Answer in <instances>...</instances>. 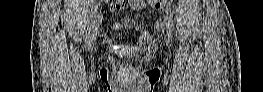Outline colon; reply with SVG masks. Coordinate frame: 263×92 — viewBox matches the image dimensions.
I'll use <instances>...</instances> for the list:
<instances>
[{"label": "colon", "instance_id": "1", "mask_svg": "<svg viewBox=\"0 0 263 92\" xmlns=\"http://www.w3.org/2000/svg\"><path fill=\"white\" fill-rule=\"evenodd\" d=\"M133 2H135V1H133ZM149 2H151L156 9H160L163 4L169 3L171 1H168V0H152Z\"/></svg>", "mask_w": 263, "mask_h": 92}]
</instances>
